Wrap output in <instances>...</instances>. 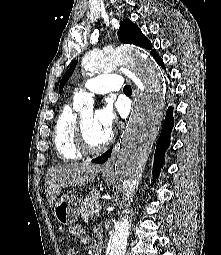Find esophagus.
Wrapping results in <instances>:
<instances>
[{
	"label": "esophagus",
	"instance_id": "1",
	"mask_svg": "<svg viewBox=\"0 0 221 255\" xmlns=\"http://www.w3.org/2000/svg\"><path fill=\"white\" fill-rule=\"evenodd\" d=\"M116 151L117 147H115L112 151L111 157L108 159V161L103 166V171L105 172H113V165L115 163L116 159Z\"/></svg>",
	"mask_w": 221,
	"mask_h": 255
}]
</instances>
